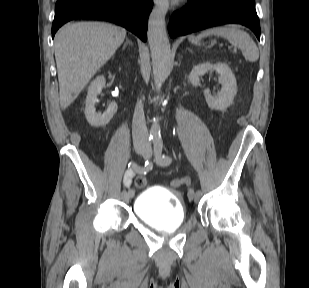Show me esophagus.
Returning <instances> with one entry per match:
<instances>
[{
    "instance_id": "obj_1",
    "label": "esophagus",
    "mask_w": 309,
    "mask_h": 288,
    "mask_svg": "<svg viewBox=\"0 0 309 288\" xmlns=\"http://www.w3.org/2000/svg\"><path fill=\"white\" fill-rule=\"evenodd\" d=\"M154 3H155L156 5H160V4H162V0H154Z\"/></svg>"
}]
</instances>
